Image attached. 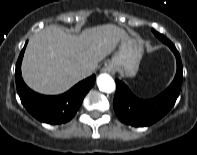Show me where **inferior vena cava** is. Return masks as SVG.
Returning <instances> with one entry per match:
<instances>
[{
    "label": "inferior vena cava",
    "mask_w": 197,
    "mask_h": 155,
    "mask_svg": "<svg viewBox=\"0 0 197 155\" xmlns=\"http://www.w3.org/2000/svg\"><path fill=\"white\" fill-rule=\"evenodd\" d=\"M83 73H85V74H87V73H89L90 72V69H88V68H83Z\"/></svg>",
    "instance_id": "1"
}]
</instances>
